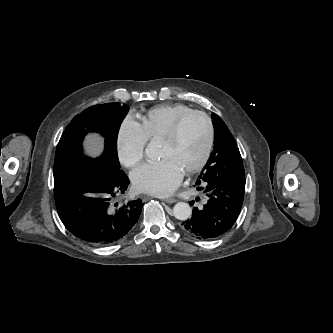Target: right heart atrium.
I'll return each mask as SVG.
<instances>
[{"label":"right heart atrium","mask_w":333,"mask_h":333,"mask_svg":"<svg viewBox=\"0 0 333 333\" xmlns=\"http://www.w3.org/2000/svg\"><path fill=\"white\" fill-rule=\"evenodd\" d=\"M148 137L140 122L127 115L116 135V152L119 161L128 168L134 167L144 156Z\"/></svg>","instance_id":"1"}]
</instances>
